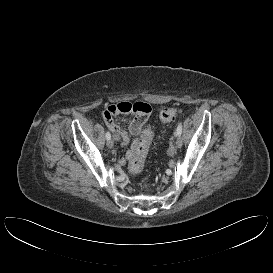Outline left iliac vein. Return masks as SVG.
<instances>
[{
	"label": "left iliac vein",
	"mask_w": 273,
	"mask_h": 273,
	"mask_svg": "<svg viewBox=\"0 0 273 273\" xmlns=\"http://www.w3.org/2000/svg\"><path fill=\"white\" fill-rule=\"evenodd\" d=\"M183 144V140L182 137L180 135H177L176 141H175V145L177 148H181Z\"/></svg>",
	"instance_id": "obj_1"
}]
</instances>
